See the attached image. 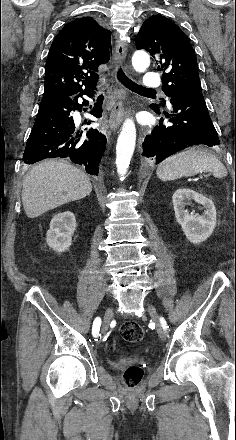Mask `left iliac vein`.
<instances>
[{"label":"left iliac vein","mask_w":236,"mask_h":440,"mask_svg":"<svg viewBox=\"0 0 236 440\" xmlns=\"http://www.w3.org/2000/svg\"><path fill=\"white\" fill-rule=\"evenodd\" d=\"M146 311L150 315L152 321L155 323L159 337L161 340H165L166 335L156 308L151 304H146Z\"/></svg>","instance_id":"4c4485c4"}]
</instances>
